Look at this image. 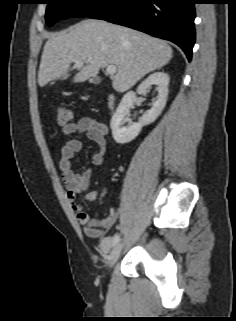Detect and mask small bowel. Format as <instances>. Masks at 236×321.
I'll list each match as a JSON object with an SVG mask.
<instances>
[{
	"mask_svg": "<svg viewBox=\"0 0 236 321\" xmlns=\"http://www.w3.org/2000/svg\"><path fill=\"white\" fill-rule=\"evenodd\" d=\"M108 127L106 124L97 121L92 117H82L78 121L69 122L62 126V133L65 136H72L76 133H84L97 145V151L92 156V163L100 166L104 163L106 156ZM82 149V142L78 139H68L61 147L59 168L62 172V179L66 187V197L75 211L77 219L81 224L84 233L90 238H98L102 234V228L110 227L117 217V211L111 209L109 216L105 219H91L88 213L78 202V196L82 195L85 201H97L103 203L107 193L105 186H97L93 190H88L89 182L93 175L91 169L83 172H77L72 165V158ZM111 245V239H104L101 244V250L108 252Z\"/></svg>",
	"mask_w": 236,
	"mask_h": 321,
	"instance_id": "obj_1",
	"label": "small bowel"
}]
</instances>
